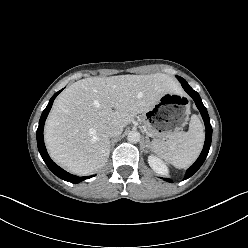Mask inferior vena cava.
<instances>
[{"label":"inferior vena cava","mask_w":248,"mask_h":248,"mask_svg":"<svg viewBox=\"0 0 248 248\" xmlns=\"http://www.w3.org/2000/svg\"><path fill=\"white\" fill-rule=\"evenodd\" d=\"M123 128L118 124H110L106 128V133L109 137H115L122 133Z\"/></svg>","instance_id":"602c4592"}]
</instances>
